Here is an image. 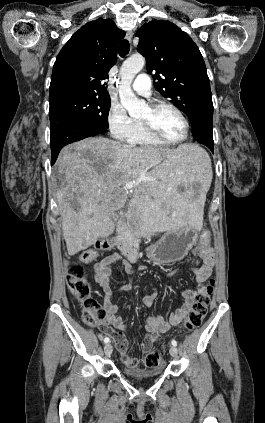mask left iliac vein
Returning <instances> with one entry per match:
<instances>
[{"label": "left iliac vein", "instance_id": "obj_1", "mask_svg": "<svg viewBox=\"0 0 265 423\" xmlns=\"http://www.w3.org/2000/svg\"><path fill=\"white\" fill-rule=\"evenodd\" d=\"M169 352H170V355L174 358L177 357L178 355V350L175 346H171Z\"/></svg>", "mask_w": 265, "mask_h": 423}]
</instances>
